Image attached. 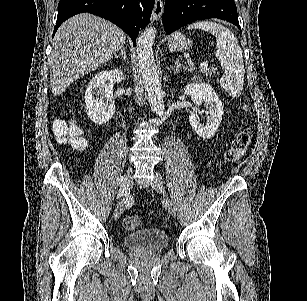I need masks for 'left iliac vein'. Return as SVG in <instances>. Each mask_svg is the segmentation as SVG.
<instances>
[{
    "label": "left iliac vein",
    "instance_id": "1",
    "mask_svg": "<svg viewBox=\"0 0 307 301\" xmlns=\"http://www.w3.org/2000/svg\"><path fill=\"white\" fill-rule=\"evenodd\" d=\"M160 181H161V177L158 174H156V178L152 186L155 191L164 193L165 190ZM165 198L167 199V207H168L169 214L172 216H176L177 208H176L174 201L168 195H165Z\"/></svg>",
    "mask_w": 307,
    "mask_h": 301
}]
</instances>
